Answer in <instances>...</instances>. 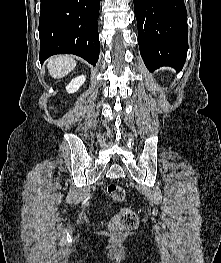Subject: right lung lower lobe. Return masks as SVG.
<instances>
[{
    "instance_id": "right-lung-lower-lobe-1",
    "label": "right lung lower lobe",
    "mask_w": 221,
    "mask_h": 263,
    "mask_svg": "<svg viewBox=\"0 0 221 263\" xmlns=\"http://www.w3.org/2000/svg\"><path fill=\"white\" fill-rule=\"evenodd\" d=\"M40 55L74 54L93 66L99 58L100 0H40Z\"/></svg>"
}]
</instances>
